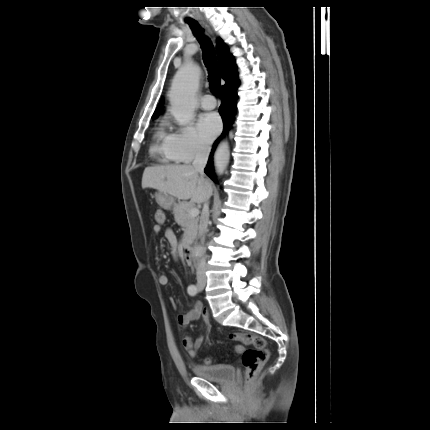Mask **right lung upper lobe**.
Returning <instances> with one entry per match:
<instances>
[{
  "label": "right lung upper lobe",
  "mask_w": 430,
  "mask_h": 430,
  "mask_svg": "<svg viewBox=\"0 0 430 430\" xmlns=\"http://www.w3.org/2000/svg\"><path fill=\"white\" fill-rule=\"evenodd\" d=\"M216 51H217L218 62L221 68L222 78L226 82L225 85L222 86V91H223L228 87H232L239 84L237 66L234 61V58L229 53L228 46L224 44L221 39L217 40ZM162 104H163V101L161 100L152 118L157 117L161 113Z\"/></svg>",
  "instance_id": "right-lung-upper-lobe-1"
}]
</instances>
